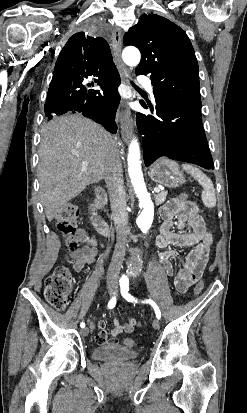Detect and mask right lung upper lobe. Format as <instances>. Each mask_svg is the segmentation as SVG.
<instances>
[{
  "label": "right lung upper lobe",
  "mask_w": 247,
  "mask_h": 413,
  "mask_svg": "<svg viewBox=\"0 0 247 413\" xmlns=\"http://www.w3.org/2000/svg\"><path fill=\"white\" fill-rule=\"evenodd\" d=\"M115 73L118 71L107 41L79 32L69 38L60 52L53 78L67 74L99 77Z\"/></svg>",
  "instance_id": "1"
}]
</instances>
